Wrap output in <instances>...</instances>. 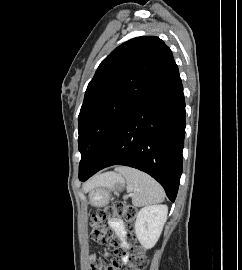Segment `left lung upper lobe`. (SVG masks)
I'll return each instance as SVG.
<instances>
[{
	"instance_id": "5c2ea615",
	"label": "left lung upper lobe",
	"mask_w": 242,
	"mask_h": 270,
	"mask_svg": "<svg viewBox=\"0 0 242 270\" xmlns=\"http://www.w3.org/2000/svg\"><path fill=\"white\" fill-rule=\"evenodd\" d=\"M174 63L170 48L155 36L133 38L101 62L78 116L79 174L90 167L121 121Z\"/></svg>"
}]
</instances>
